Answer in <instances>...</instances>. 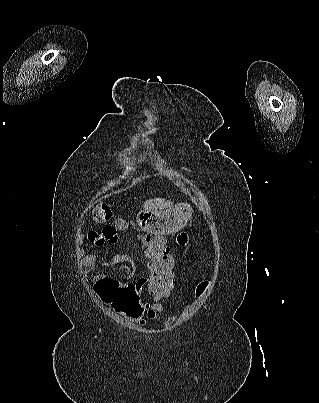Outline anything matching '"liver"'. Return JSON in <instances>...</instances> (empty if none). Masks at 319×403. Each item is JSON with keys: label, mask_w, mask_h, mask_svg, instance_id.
Returning a JSON list of instances; mask_svg holds the SVG:
<instances>
[{"label": "liver", "mask_w": 319, "mask_h": 403, "mask_svg": "<svg viewBox=\"0 0 319 403\" xmlns=\"http://www.w3.org/2000/svg\"><path fill=\"white\" fill-rule=\"evenodd\" d=\"M172 206H173L172 202L166 201L165 199H162V198H155V199L147 200L143 205L145 210H162V209L170 208Z\"/></svg>", "instance_id": "1"}]
</instances>
